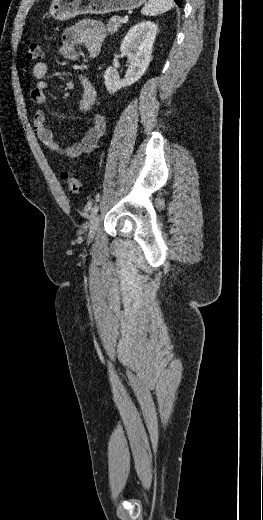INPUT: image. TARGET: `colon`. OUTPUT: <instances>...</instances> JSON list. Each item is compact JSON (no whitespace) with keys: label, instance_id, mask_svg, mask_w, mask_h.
Returning <instances> with one entry per match:
<instances>
[{"label":"colon","instance_id":"colon-1","mask_svg":"<svg viewBox=\"0 0 263 520\" xmlns=\"http://www.w3.org/2000/svg\"><path fill=\"white\" fill-rule=\"evenodd\" d=\"M27 59L38 60L42 56L41 44L37 40L30 41L27 50ZM61 178L65 182L67 190L71 194H79L82 190L81 182L78 178L72 176L67 171L61 173Z\"/></svg>","mask_w":263,"mask_h":520}]
</instances>
